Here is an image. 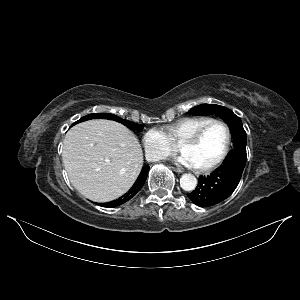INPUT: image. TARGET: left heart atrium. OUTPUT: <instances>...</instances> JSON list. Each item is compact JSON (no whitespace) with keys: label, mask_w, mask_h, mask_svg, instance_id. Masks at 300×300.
I'll list each match as a JSON object with an SVG mask.
<instances>
[{"label":"left heart atrium","mask_w":300,"mask_h":300,"mask_svg":"<svg viewBox=\"0 0 300 300\" xmlns=\"http://www.w3.org/2000/svg\"><path fill=\"white\" fill-rule=\"evenodd\" d=\"M177 163L186 167H195L191 158L187 154H182L176 159Z\"/></svg>","instance_id":"39dd6f15"}]
</instances>
